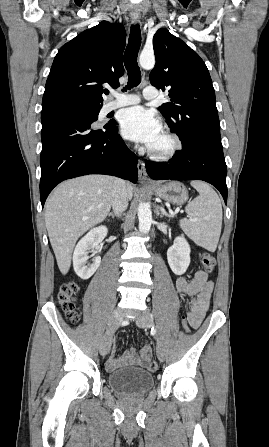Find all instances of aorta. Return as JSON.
<instances>
[{
    "label": "aorta",
    "instance_id": "aorta-1",
    "mask_svg": "<svg viewBox=\"0 0 269 447\" xmlns=\"http://www.w3.org/2000/svg\"><path fill=\"white\" fill-rule=\"evenodd\" d=\"M139 64L144 70H152L155 66L154 54H140ZM138 220L139 229L142 233H148L152 224V212L146 204H139L138 206Z\"/></svg>",
    "mask_w": 269,
    "mask_h": 447
}]
</instances>
